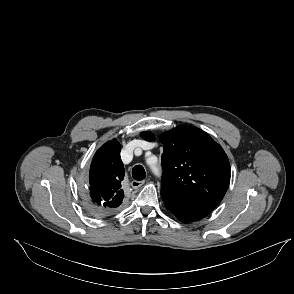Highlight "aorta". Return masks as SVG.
<instances>
[{"label": "aorta", "mask_w": 294, "mask_h": 294, "mask_svg": "<svg viewBox=\"0 0 294 294\" xmlns=\"http://www.w3.org/2000/svg\"><path fill=\"white\" fill-rule=\"evenodd\" d=\"M151 169H152V171H153L155 174H158V173H159V170H158V168H157L155 165H151Z\"/></svg>", "instance_id": "762f6f07"}]
</instances>
